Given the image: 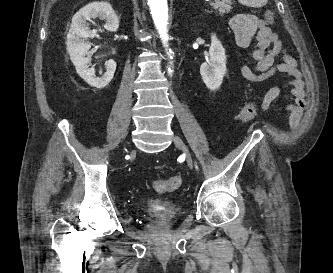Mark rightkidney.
<instances>
[{
	"mask_svg": "<svg viewBox=\"0 0 333 273\" xmlns=\"http://www.w3.org/2000/svg\"><path fill=\"white\" fill-rule=\"evenodd\" d=\"M99 18L106 23L107 31L115 32L119 27L118 18L108 2H92L81 8L72 18L70 30L67 34V50L78 75L90 86L102 89L113 79L116 62L112 59L105 64L106 72L101 77L95 76V69L89 67V59L85 57L91 45L87 41L93 38L97 30H91L87 21Z\"/></svg>",
	"mask_w": 333,
	"mask_h": 273,
	"instance_id": "right-kidney-1",
	"label": "right kidney"
}]
</instances>
